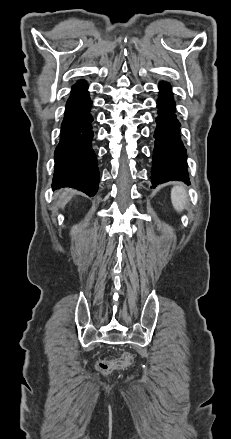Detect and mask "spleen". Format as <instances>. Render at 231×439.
<instances>
[{
	"label": "spleen",
	"instance_id": "obj_1",
	"mask_svg": "<svg viewBox=\"0 0 231 439\" xmlns=\"http://www.w3.org/2000/svg\"><path fill=\"white\" fill-rule=\"evenodd\" d=\"M187 200L186 190L183 186H175L171 190V201L176 211L181 212L185 208Z\"/></svg>",
	"mask_w": 231,
	"mask_h": 439
}]
</instances>
